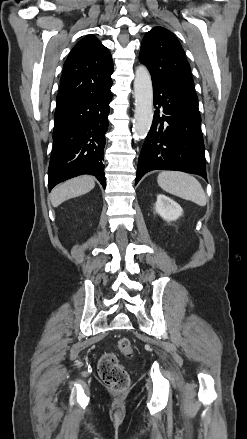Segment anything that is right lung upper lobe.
<instances>
[{
    "mask_svg": "<svg viewBox=\"0 0 247 439\" xmlns=\"http://www.w3.org/2000/svg\"><path fill=\"white\" fill-rule=\"evenodd\" d=\"M112 56L93 35L78 42L63 68L57 106L82 95L101 92L112 85Z\"/></svg>",
    "mask_w": 247,
    "mask_h": 439,
    "instance_id": "cb5924a9",
    "label": "right lung upper lobe"
}]
</instances>
